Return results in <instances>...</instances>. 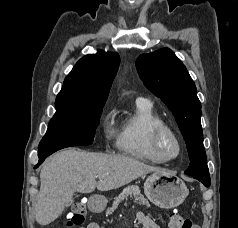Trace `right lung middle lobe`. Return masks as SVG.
I'll use <instances>...</instances> for the list:
<instances>
[{"mask_svg":"<svg viewBox=\"0 0 238 228\" xmlns=\"http://www.w3.org/2000/svg\"><path fill=\"white\" fill-rule=\"evenodd\" d=\"M104 105L92 110L56 112L40 141L39 149L92 144Z\"/></svg>","mask_w":238,"mask_h":228,"instance_id":"obj_1","label":"right lung middle lobe"}]
</instances>
